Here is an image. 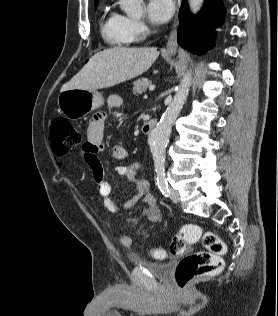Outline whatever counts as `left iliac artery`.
<instances>
[{
	"label": "left iliac artery",
	"instance_id": "obj_1",
	"mask_svg": "<svg viewBox=\"0 0 278 316\" xmlns=\"http://www.w3.org/2000/svg\"><path fill=\"white\" fill-rule=\"evenodd\" d=\"M156 172H157L158 188L165 197H168L169 189H168L167 179L165 176V169L162 167H159L156 169Z\"/></svg>",
	"mask_w": 278,
	"mask_h": 316
}]
</instances>
